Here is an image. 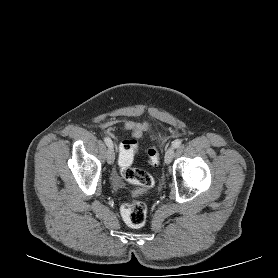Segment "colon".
<instances>
[{
    "instance_id": "1",
    "label": "colon",
    "mask_w": 278,
    "mask_h": 278,
    "mask_svg": "<svg viewBox=\"0 0 278 278\" xmlns=\"http://www.w3.org/2000/svg\"><path fill=\"white\" fill-rule=\"evenodd\" d=\"M137 147L135 139H128L121 142L119 147V167L122 177L142 189L151 188L154 184L152 176L144 170L132 167L134 153ZM148 162L157 166L159 163V152L155 147L147 150ZM121 215L125 223L131 227H141L147 218V207L144 203L133 201L124 203L121 206Z\"/></svg>"
}]
</instances>
